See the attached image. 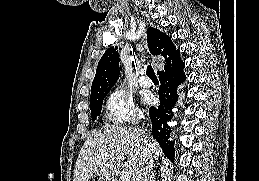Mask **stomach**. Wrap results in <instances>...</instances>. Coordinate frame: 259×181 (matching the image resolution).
<instances>
[{
	"label": "stomach",
	"instance_id": "obj_1",
	"mask_svg": "<svg viewBox=\"0 0 259 181\" xmlns=\"http://www.w3.org/2000/svg\"><path fill=\"white\" fill-rule=\"evenodd\" d=\"M99 181H107L105 178H101Z\"/></svg>",
	"mask_w": 259,
	"mask_h": 181
}]
</instances>
